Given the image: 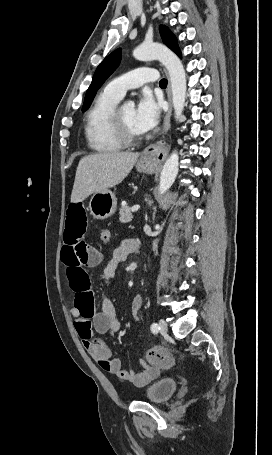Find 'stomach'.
Instances as JSON below:
<instances>
[{
	"label": "stomach",
	"mask_w": 272,
	"mask_h": 455,
	"mask_svg": "<svg viewBox=\"0 0 272 455\" xmlns=\"http://www.w3.org/2000/svg\"><path fill=\"white\" fill-rule=\"evenodd\" d=\"M136 169L139 172L152 174L157 169V162L154 159L140 157L136 162ZM117 207V199L111 190L94 193L89 202L91 215L98 220H104L112 216Z\"/></svg>",
	"instance_id": "0dacf381"
}]
</instances>
